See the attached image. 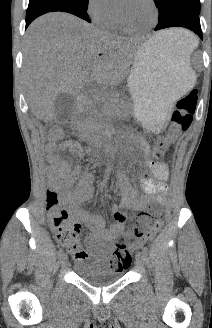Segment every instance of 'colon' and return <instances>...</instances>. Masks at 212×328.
<instances>
[{
  "instance_id": "1",
  "label": "colon",
  "mask_w": 212,
  "mask_h": 328,
  "mask_svg": "<svg viewBox=\"0 0 212 328\" xmlns=\"http://www.w3.org/2000/svg\"><path fill=\"white\" fill-rule=\"evenodd\" d=\"M197 102L198 91L195 89L189 91L178 100L168 133L158 139L155 144L154 155L157 160H160L176 139L189 129L196 111ZM48 138L52 144H57L63 139V132L59 128H54L49 132ZM46 201L47 210L51 212V223L57 230L58 239L76 258L81 257L84 254L78 239L81 227L79 225L71 227L65 224L68 214L66 211H57L58 196L55 191L49 190L47 192ZM145 215L153 220L151 224L144 228H136L132 240L122 237L118 241V249L114 252L112 259L121 269L130 267L132 260L130 251L154 236L162 226L163 212L159 203L148 206Z\"/></svg>"
}]
</instances>
